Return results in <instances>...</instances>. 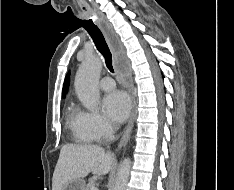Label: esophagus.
Listing matches in <instances>:
<instances>
[{
	"instance_id": "34e87169",
	"label": "esophagus",
	"mask_w": 234,
	"mask_h": 190,
	"mask_svg": "<svg viewBox=\"0 0 234 190\" xmlns=\"http://www.w3.org/2000/svg\"><path fill=\"white\" fill-rule=\"evenodd\" d=\"M100 27L102 28V31L104 32V35L113 51V53L116 55L118 53V50L120 48L119 40L112 28L104 21L99 22ZM128 88L131 96V115L130 119L128 121V124L123 132V135L120 139V142L118 144V149L123 148L128 143L131 132L134 126V118H135V107H136V101H135V93H134V87H133V81L131 75H128Z\"/></svg>"
}]
</instances>
